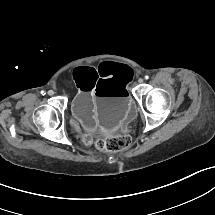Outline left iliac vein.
<instances>
[{"instance_id":"left-iliac-vein-1","label":"left iliac vein","mask_w":215,"mask_h":215,"mask_svg":"<svg viewBox=\"0 0 215 215\" xmlns=\"http://www.w3.org/2000/svg\"><path fill=\"white\" fill-rule=\"evenodd\" d=\"M143 81H144V80H143L142 78H139V79H138V83H143Z\"/></svg>"}]
</instances>
